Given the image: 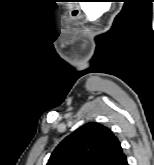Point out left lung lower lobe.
Masks as SVG:
<instances>
[{"label": "left lung lower lobe", "mask_w": 154, "mask_h": 165, "mask_svg": "<svg viewBox=\"0 0 154 165\" xmlns=\"http://www.w3.org/2000/svg\"><path fill=\"white\" fill-rule=\"evenodd\" d=\"M117 165H128L125 155L120 159Z\"/></svg>", "instance_id": "left-lung-lower-lobe-1"}]
</instances>
